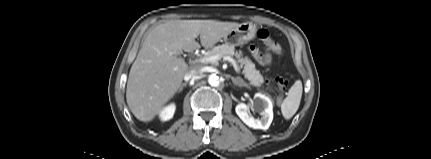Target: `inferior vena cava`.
<instances>
[{
    "label": "inferior vena cava",
    "instance_id": "1",
    "mask_svg": "<svg viewBox=\"0 0 431 159\" xmlns=\"http://www.w3.org/2000/svg\"><path fill=\"white\" fill-rule=\"evenodd\" d=\"M201 72L202 71H201V69L199 67H193L192 69H190L186 73L184 79L186 81H189L190 79H195V78H197L201 74Z\"/></svg>",
    "mask_w": 431,
    "mask_h": 159
}]
</instances>
